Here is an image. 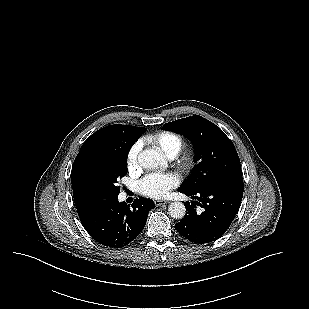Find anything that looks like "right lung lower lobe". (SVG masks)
I'll return each mask as SVG.
<instances>
[{
    "mask_svg": "<svg viewBox=\"0 0 309 309\" xmlns=\"http://www.w3.org/2000/svg\"><path fill=\"white\" fill-rule=\"evenodd\" d=\"M154 207V202L149 199H136L130 207L114 197L97 200L78 211V215L85 230L99 244L122 248L140 234L148 211Z\"/></svg>",
    "mask_w": 309,
    "mask_h": 309,
    "instance_id": "obj_1",
    "label": "right lung lower lobe"
}]
</instances>
